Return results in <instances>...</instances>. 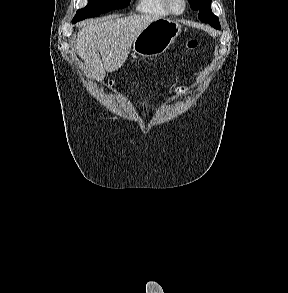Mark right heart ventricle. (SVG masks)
Returning a JSON list of instances; mask_svg holds the SVG:
<instances>
[{"instance_id": "right-heart-ventricle-1", "label": "right heart ventricle", "mask_w": 288, "mask_h": 293, "mask_svg": "<svg viewBox=\"0 0 288 293\" xmlns=\"http://www.w3.org/2000/svg\"><path fill=\"white\" fill-rule=\"evenodd\" d=\"M136 9L142 13L159 16H167L171 14L170 11L166 8L163 0H138Z\"/></svg>"}]
</instances>
